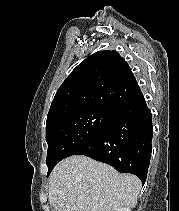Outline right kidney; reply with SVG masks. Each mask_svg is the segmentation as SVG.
<instances>
[{"label":"right kidney","instance_id":"right-kidney-1","mask_svg":"<svg viewBox=\"0 0 179 211\" xmlns=\"http://www.w3.org/2000/svg\"><path fill=\"white\" fill-rule=\"evenodd\" d=\"M116 211H131V209L130 208H120V209H118Z\"/></svg>","mask_w":179,"mask_h":211}]
</instances>
